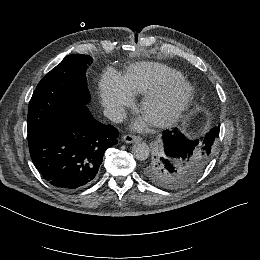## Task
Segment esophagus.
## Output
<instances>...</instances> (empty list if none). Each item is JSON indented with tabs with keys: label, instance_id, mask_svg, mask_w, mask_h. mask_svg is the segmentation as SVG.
<instances>
[{
	"label": "esophagus",
	"instance_id": "esophagus-1",
	"mask_svg": "<svg viewBox=\"0 0 260 260\" xmlns=\"http://www.w3.org/2000/svg\"><path fill=\"white\" fill-rule=\"evenodd\" d=\"M123 140L126 143H135V142L139 141L140 138L138 136H136V135L127 134V135L123 136Z\"/></svg>",
	"mask_w": 260,
	"mask_h": 260
}]
</instances>
